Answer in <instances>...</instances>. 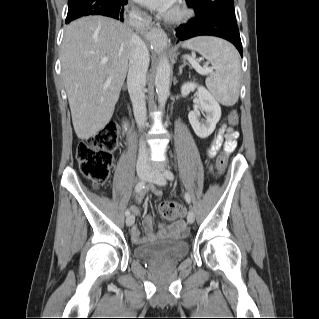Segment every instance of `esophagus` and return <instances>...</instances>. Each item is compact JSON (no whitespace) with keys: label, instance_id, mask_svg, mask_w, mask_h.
<instances>
[{"label":"esophagus","instance_id":"34e87169","mask_svg":"<svg viewBox=\"0 0 319 319\" xmlns=\"http://www.w3.org/2000/svg\"><path fill=\"white\" fill-rule=\"evenodd\" d=\"M148 39L151 44L159 45L168 40L165 31L159 25L150 26L147 30Z\"/></svg>","mask_w":319,"mask_h":319}]
</instances>
